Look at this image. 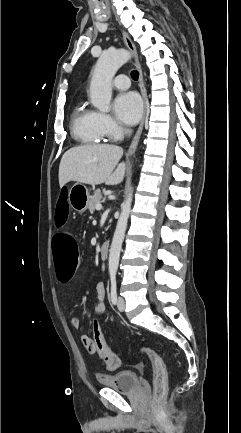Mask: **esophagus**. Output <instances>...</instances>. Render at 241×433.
Segmentation results:
<instances>
[{
    "label": "esophagus",
    "instance_id": "esophagus-1",
    "mask_svg": "<svg viewBox=\"0 0 241 433\" xmlns=\"http://www.w3.org/2000/svg\"><path fill=\"white\" fill-rule=\"evenodd\" d=\"M122 35H123V39H124V42H125L127 48L130 50V52L132 53V55L134 56V59H135V66L139 72V87H140L141 95L143 98V105H144L143 115H142L140 125H139V127L136 131V134H135V136H134V138H133V140L129 146V149H128L127 155L131 156L132 154H134V152L136 150L137 144L139 142V139H140V136H141V133L143 130L144 121L146 118V110H147V98H146L147 94H146V89H145V85H144V81H143L142 69H141V65H140L138 57H137V51H136L135 45L133 44L132 40L127 35V33L123 32Z\"/></svg>",
    "mask_w": 241,
    "mask_h": 433
}]
</instances>
